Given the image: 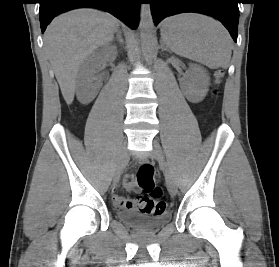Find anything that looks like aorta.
<instances>
[{"label":"aorta","mask_w":279,"mask_h":267,"mask_svg":"<svg viewBox=\"0 0 279 267\" xmlns=\"http://www.w3.org/2000/svg\"><path fill=\"white\" fill-rule=\"evenodd\" d=\"M139 28L142 49L145 53L146 59H149L154 47V23L149 3L141 4Z\"/></svg>","instance_id":"obj_1"}]
</instances>
